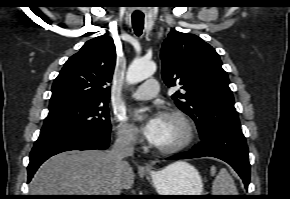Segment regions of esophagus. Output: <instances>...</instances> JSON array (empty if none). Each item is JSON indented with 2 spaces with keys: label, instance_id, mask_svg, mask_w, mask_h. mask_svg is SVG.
Instances as JSON below:
<instances>
[{
  "label": "esophagus",
  "instance_id": "1",
  "mask_svg": "<svg viewBox=\"0 0 290 199\" xmlns=\"http://www.w3.org/2000/svg\"><path fill=\"white\" fill-rule=\"evenodd\" d=\"M144 168H145L146 170H149V169L151 168V166H150L149 164L146 163V164L144 165Z\"/></svg>",
  "mask_w": 290,
  "mask_h": 199
}]
</instances>
